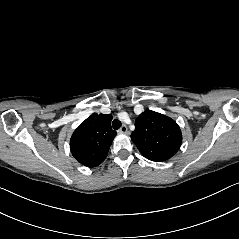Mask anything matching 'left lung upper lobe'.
I'll list each match as a JSON object with an SVG mask.
<instances>
[{"label":"left lung upper lobe","instance_id":"5c2ea615","mask_svg":"<svg viewBox=\"0 0 239 239\" xmlns=\"http://www.w3.org/2000/svg\"><path fill=\"white\" fill-rule=\"evenodd\" d=\"M131 139L145 158L159 162L176 154L181 145L182 134L173 119L146 110L136 119Z\"/></svg>","mask_w":239,"mask_h":239}]
</instances>
